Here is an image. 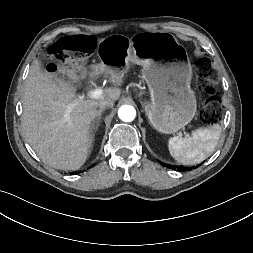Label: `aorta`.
<instances>
[{"label":"aorta","instance_id":"aorta-1","mask_svg":"<svg viewBox=\"0 0 253 253\" xmlns=\"http://www.w3.org/2000/svg\"><path fill=\"white\" fill-rule=\"evenodd\" d=\"M118 116L124 122H131L135 119L136 110L131 105H123L118 110Z\"/></svg>","mask_w":253,"mask_h":253}]
</instances>
